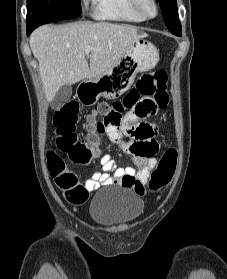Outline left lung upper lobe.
Returning <instances> with one entry per match:
<instances>
[{
  "mask_svg": "<svg viewBox=\"0 0 227 279\" xmlns=\"http://www.w3.org/2000/svg\"><path fill=\"white\" fill-rule=\"evenodd\" d=\"M163 12L165 24L173 34H181L176 0H157Z\"/></svg>",
  "mask_w": 227,
  "mask_h": 279,
  "instance_id": "left-lung-upper-lobe-1",
  "label": "left lung upper lobe"
}]
</instances>
